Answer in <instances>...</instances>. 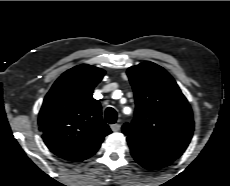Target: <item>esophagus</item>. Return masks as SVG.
Listing matches in <instances>:
<instances>
[{
  "mask_svg": "<svg viewBox=\"0 0 230 186\" xmlns=\"http://www.w3.org/2000/svg\"><path fill=\"white\" fill-rule=\"evenodd\" d=\"M120 127H121L120 124H117V123L112 124V125L110 126L111 130L114 131V132L119 131V130H120Z\"/></svg>",
  "mask_w": 230,
  "mask_h": 186,
  "instance_id": "obj_1",
  "label": "esophagus"
}]
</instances>
